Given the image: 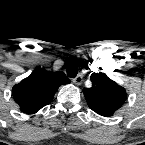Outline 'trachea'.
<instances>
[{
	"mask_svg": "<svg viewBox=\"0 0 145 145\" xmlns=\"http://www.w3.org/2000/svg\"><path fill=\"white\" fill-rule=\"evenodd\" d=\"M78 74V68L75 64H70L67 68V76L70 78H75Z\"/></svg>",
	"mask_w": 145,
	"mask_h": 145,
	"instance_id": "trachea-1",
	"label": "trachea"
}]
</instances>
